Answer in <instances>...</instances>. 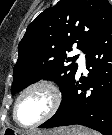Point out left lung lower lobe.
Listing matches in <instances>:
<instances>
[{
	"mask_svg": "<svg viewBox=\"0 0 112 135\" xmlns=\"http://www.w3.org/2000/svg\"><path fill=\"white\" fill-rule=\"evenodd\" d=\"M88 77L75 76L61 104L39 128L83 125L112 135V23L86 52Z\"/></svg>",
	"mask_w": 112,
	"mask_h": 135,
	"instance_id": "1",
	"label": "left lung lower lobe"
}]
</instances>
